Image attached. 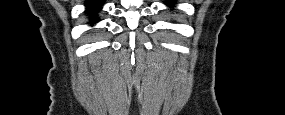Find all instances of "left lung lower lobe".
Listing matches in <instances>:
<instances>
[{"instance_id": "0a47b994", "label": "left lung lower lobe", "mask_w": 285, "mask_h": 115, "mask_svg": "<svg viewBox=\"0 0 285 115\" xmlns=\"http://www.w3.org/2000/svg\"><path fill=\"white\" fill-rule=\"evenodd\" d=\"M168 4L173 5V3H172L171 1H170V2H168V3H167V5H168Z\"/></svg>"}]
</instances>
